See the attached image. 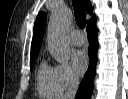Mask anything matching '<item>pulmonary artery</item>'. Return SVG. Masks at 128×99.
<instances>
[{
	"mask_svg": "<svg viewBox=\"0 0 128 99\" xmlns=\"http://www.w3.org/2000/svg\"><path fill=\"white\" fill-rule=\"evenodd\" d=\"M72 44L81 46L85 42V36L78 30H73L70 34Z\"/></svg>",
	"mask_w": 128,
	"mask_h": 99,
	"instance_id": "pulmonary-artery-1",
	"label": "pulmonary artery"
}]
</instances>
